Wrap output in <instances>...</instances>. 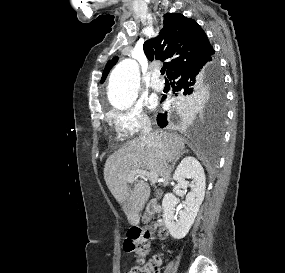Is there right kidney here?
I'll use <instances>...</instances> for the list:
<instances>
[{"instance_id": "obj_1", "label": "right kidney", "mask_w": 285, "mask_h": 273, "mask_svg": "<svg viewBox=\"0 0 285 273\" xmlns=\"http://www.w3.org/2000/svg\"><path fill=\"white\" fill-rule=\"evenodd\" d=\"M173 179L178 183L180 188L186 189L188 186L191 188L190 192L186 195L184 209L179 211L178 219L174 215L176 205L178 204L177 198L173 194L167 193L162 201L163 220L166 228L173 238L182 239L193 225L204 199L206 178L198 160L192 156H188L178 165ZM186 179H192L191 183Z\"/></svg>"}]
</instances>
